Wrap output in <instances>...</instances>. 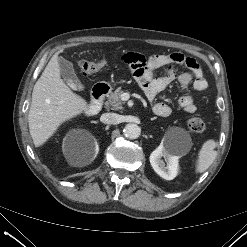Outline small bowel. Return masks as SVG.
I'll return each mask as SVG.
<instances>
[{
    "label": "small bowel",
    "instance_id": "obj_1",
    "mask_svg": "<svg viewBox=\"0 0 247 247\" xmlns=\"http://www.w3.org/2000/svg\"><path fill=\"white\" fill-rule=\"evenodd\" d=\"M122 61L130 68L149 101L155 100L156 96L175 79L183 90H187L190 85L199 92L207 88V82L198 62L181 53L154 54L147 58L141 54L127 53L122 57ZM175 65H185L189 72L177 75ZM160 68H165V74L155 77V71ZM178 104L187 113L196 111L193 97L190 94L180 97ZM153 111L160 117H168L172 109L164 102H157L154 104Z\"/></svg>",
    "mask_w": 247,
    "mask_h": 247
}]
</instances>
